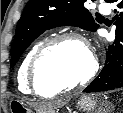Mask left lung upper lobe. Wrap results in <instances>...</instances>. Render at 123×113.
<instances>
[{"label": "left lung upper lobe", "instance_id": "5c2ea615", "mask_svg": "<svg viewBox=\"0 0 123 113\" xmlns=\"http://www.w3.org/2000/svg\"><path fill=\"white\" fill-rule=\"evenodd\" d=\"M86 0H30L17 23L11 48L13 67L23 51L44 31L60 26H78L95 31L98 25L84 7ZM111 2V0H105Z\"/></svg>", "mask_w": 123, "mask_h": 113}]
</instances>
